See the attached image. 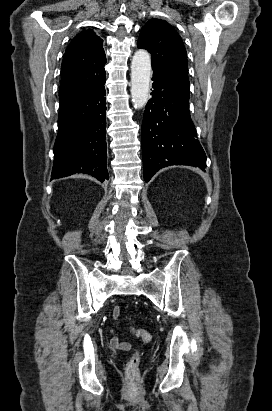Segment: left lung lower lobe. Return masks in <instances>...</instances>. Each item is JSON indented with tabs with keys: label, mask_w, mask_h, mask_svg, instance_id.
Returning a JSON list of instances; mask_svg holds the SVG:
<instances>
[{
	"label": "left lung lower lobe",
	"mask_w": 272,
	"mask_h": 411,
	"mask_svg": "<svg viewBox=\"0 0 272 411\" xmlns=\"http://www.w3.org/2000/svg\"><path fill=\"white\" fill-rule=\"evenodd\" d=\"M152 80L141 128L144 180L170 165L204 169L206 155L190 117L189 93L156 74Z\"/></svg>",
	"instance_id": "0a47b994"
}]
</instances>
